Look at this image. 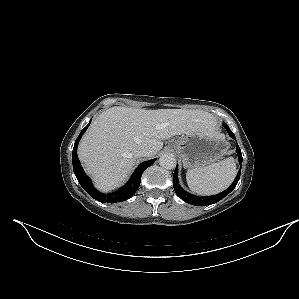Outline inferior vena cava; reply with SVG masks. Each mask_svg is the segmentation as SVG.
Listing matches in <instances>:
<instances>
[{
    "mask_svg": "<svg viewBox=\"0 0 299 299\" xmlns=\"http://www.w3.org/2000/svg\"><path fill=\"white\" fill-rule=\"evenodd\" d=\"M151 151L148 148H143L136 153L137 157H148Z\"/></svg>",
    "mask_w": 299,
    "mask_h": 299,
    "instance_id": "602c4592",
    "label": "inferior vena cava"
}]
</instances>
